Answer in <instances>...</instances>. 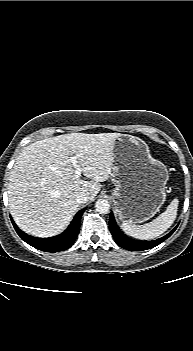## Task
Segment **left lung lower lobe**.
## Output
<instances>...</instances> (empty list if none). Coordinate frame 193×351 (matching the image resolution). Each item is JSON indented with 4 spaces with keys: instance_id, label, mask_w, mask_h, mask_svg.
<instances>
[{
    "instance_id": "left-lung-lower-lobe-1",
    "label": "left lung lower lobe",
    "mask_w": 193,
    "mask_h": 351,
    "mask_svg": "<svg viewBox=\"0 0 193 351\" xmlns=\"http://www.w3.org/2000/svg\"><path fill=\"white\" fill-rule=\"evenodd\" d=\"M109 229H110V232H111L112 236L114 237L116 243L120 247L127 249L129 251H142V250L151 249V248L159 245L160 243H162L175 231L176 228H174L169 234H167L164 237L159 238L157 240H153V241L134 240V239H131V238L125 236L122 233V231L118 228V226L115 222L113 214L111 213L110 219H109Z\"/></svg>"
}]
</instances>
